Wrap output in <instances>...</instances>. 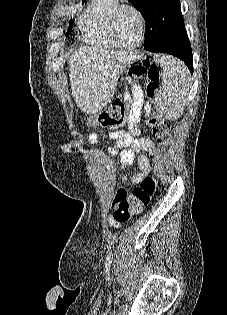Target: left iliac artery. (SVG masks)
Wrapping results in <instances>:
<instances>
[{"instance_id": "44dca946", "label": "left iliac artery", "mask_w": 227, "mask_h": 315, "mask_svg": "<svg viewBox=\"0 0 227 315\" xmlns=\"http://www.w3.org/2000/svg\"><path fill=\"white\" fill-rule=\"evenodd\" d=\"M112 257H113V254L111 251L109 253L107 260H106V263H105L106 273H108V274L110 273V268H111V264H112Z\"/></svg>"}]
</instances>
